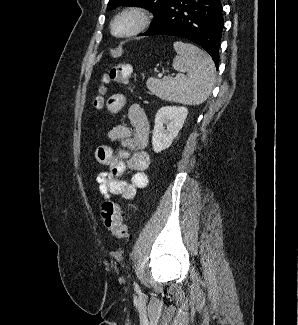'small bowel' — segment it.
I'll return each instance as SVG.
<instances>
[{"label": "small bowel", "mask_w": 298, "mask_h": 325, "mask_svg": "<svg viewBox=\"0 0 298 325\" xmlns=\"http://www.w3.org/2000/svg\"><path fill=\"white\" fill-rule=\"evenodd\" d=\"M126 104L125 95L117 93L108 98L106 108L109 113L117 114ZM128 118L131 128L119 124L112 126L107 132V138L111 142L120 143L121 148L114 151L108 145H101L95 153L97 162L106 167L96 179L98 190L105 199L122 196L132 200L136 191L148 184L145 173L150 164L146 151L150 133L148 118L138 104L129 107ZM127 169L132 172L128 181L124 179Z\"/></svg>", "instance_id": "1"}]
</instances>
